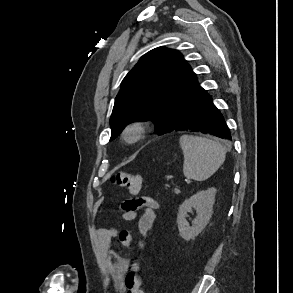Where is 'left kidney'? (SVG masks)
Returning <instances> with one entry per match:
<instances>
[{
	"mask_svg": "<svg viewBox=\"0 0 293 293\" xmlns=\"http://www.w3.org/2000/svg\"><path fill=\"white\" fill-rule=\"evenodd\" d=\"M217 189L212 187L205 191H200L186 199L180 206L177 215V225L179 235L186 241L197 237L208 224L215 203ZM196 210L197 216L193 220L192 226L186 220L189 212Z\"/></svg>",
	"mask_w": 293,
	"mask_h": 293,
	"instance_id": "left-kidney-1",
	"label": "left kidney"
}]
</instances>
